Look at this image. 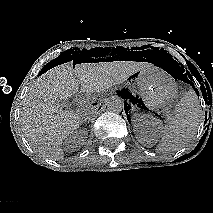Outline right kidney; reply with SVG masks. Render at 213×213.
Returning <instances> with one entry per match:
<instances>
[{
    "label": "right kidney",
    "instance_id": "obj_1",
    "mask_svg": "<svg viewBox=\"0 0 213 213\" xmlns=\"http://www.w3.org/2000/svg\"><path fill=\"white\" fill-rule=\"evenodd\" d=\"M86 135L87 132L85 130L75 132L74 134L70 135V137L66 139L67 149L70 151L79 149L85 143Z\"/></svg>",
    "mask_w": 213,
    "mask_h": 213
}]
</instances>
